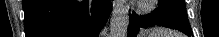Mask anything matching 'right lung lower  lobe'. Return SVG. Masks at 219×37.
Masks as SVG:
<instances>
[{
	"instance_id": "1",
	"label": "right lung lower lobe",
	"mask_w": 219,
	"mask_h": 37,
	"mask_svg": "<svg viewBox=\"0 0 219 37\" xmlns=\"http://www.w3.org/2000/svg\"><path fill=\"white\" fill-rule=\"evenodd\" d=\"M25 37H98L109 0H23Z\"/></svg>"
}]
</instances>
